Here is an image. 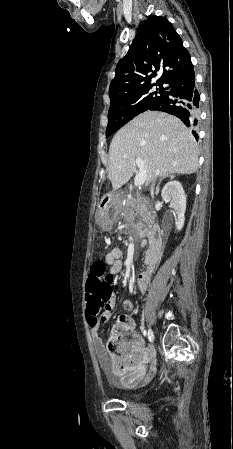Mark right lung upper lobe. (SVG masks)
I'll list each match as a JSON object with an SVG mask.
<instances>
[{
  "instance_id": "cb5924a9",
  "label": "right lung upper lobe",
  "mask_w": 233,
  "mask_h": 449,
  "mask_svg": "<svg viewBox=\"0 0 233 449\" xmlns=\"http://www.w3.org/2000/svg\"><path fill=\"white\" fill-rule=\"evenodd\" d=\"M191 66L190 54L172 23L165 17L150 16L140 23L128 53L117 64L109 97L151 85L159 67L164 68V73L157 82L166 83Z\"/></svg>"
}]
</instances>
